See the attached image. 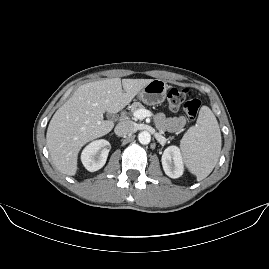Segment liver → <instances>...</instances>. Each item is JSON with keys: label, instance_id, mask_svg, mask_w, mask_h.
Here are the masks:
<instances>
[{"label": "liver", "instance_id": "6515ba94", "mask_svg": "<svg viewBox=\"0 0 269 269\" xmlns=\"http://www.w3.org/2000/svg\"><path fill=\"white\" fill-rule=\"evenodd\" d=\"M150 82L113 78L81 85L56 111L48 127L47 146L57 169L74 175L81 146L107 134L114 126L104 119V111H120Z\"/></svg>", "mask_w": 269, "mask_h": 269}]
</instances>
